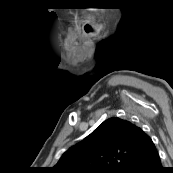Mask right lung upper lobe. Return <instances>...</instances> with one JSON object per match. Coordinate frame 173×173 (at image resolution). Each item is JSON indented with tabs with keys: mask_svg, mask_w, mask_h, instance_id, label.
Returning a JSON list of instances; mask_svg holds the SVG:
<instances>
[{
	"mask_svg": "<svg viewBox=\"0 0 173 173\" xmlns=\"http://www.w3.org/2000/svg\"><path fill=\"white\" fill-rule=\"evenodd\" d=\"M154 149L141 128L113 117L68 149L51 173H122L129 163Z\"/></svg>",
	"mask_w": 173,
	"mask_h": 173,
	"instance_id": "obj_1",
	"label": "right lung upper lobe"
}]
</instances>
